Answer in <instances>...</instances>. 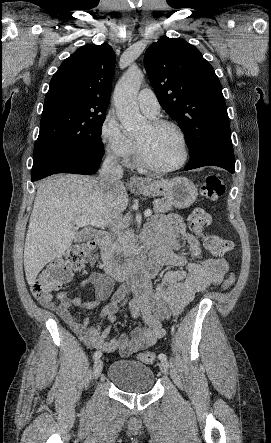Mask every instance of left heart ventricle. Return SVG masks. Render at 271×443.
I'll return each mask as SVG.
<instances>
[{"label": "left heart ventricle", "instance_id": "obj_1", "mask_svg": "<svg viewBox=\"0 0 271 443\" xmlns=\"http://www.w3.org/2000/svg\"><path fill=\"white\" fill-rule=\"evenodd\" d=\"M135 140L141 145L151 162L159 166H170L183 156V145L176 130L164 126L152 128L146 123Z\"/></svg>", "mask_w": 271, "mask_h": 443}]
</instances>
